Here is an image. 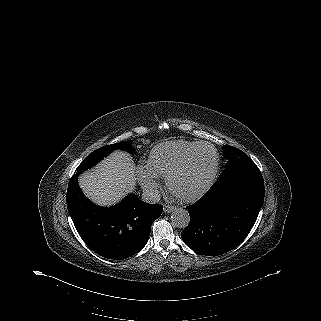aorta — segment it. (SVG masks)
I'll return each instance as SVG.
<instances>
[{
	"mask_svg": "<svg viewBox=\"0 0 321 321\" xmlns=\"http://www.w3.org/2000/svg\"><path fill=\"white\" fill-rule=\"evenodd\" d=\"M171 222L177 228H186L190 223V215L186 209L177 208L171 215Z\"/></svg>",
	"mask_w": 321,
	"mask_h": 321,
	"instance_id": "762f6f07",
	"label": "aorta"
}]
</instances>
